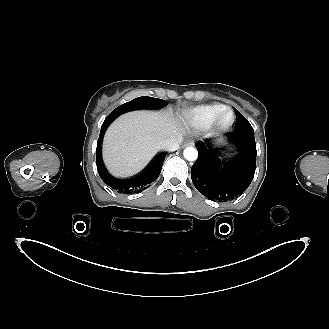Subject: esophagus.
Returning <instances> with one entry per match:
<instances>
[{"mask_svg": "<svg viewBox=\"0 0 329 329\" xmlns=\"http://www.w3.org/2000/svg\"><path fill=\"white\" fill-rule=\"evenodd\" d=\"M194 145V141L192 140H188L183 144V147H187V146H193Z\"/></svg>", "mask_w": 329, "mask_h": 329, "instance_id": "34e87169", "label": "esophagus"}]
</instances>
